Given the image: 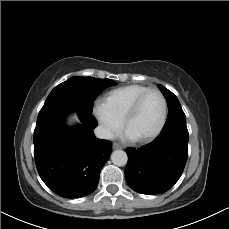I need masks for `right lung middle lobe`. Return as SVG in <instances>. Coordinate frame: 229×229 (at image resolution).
Segmentation results:
<instances>
[{
    "label": "right lung middle lobe",
    "mask_w": 229,
    "mask_h": 229,
    "mask_svg": "<svg viewBox=\"0 0 229 229\" xmlns=\"http://www.w3.org/2000/svg\"><path fill=\"white\" fill-rule=\"evenodd\" d=\"M114 85L117 83L110 79L71 77L50 92L40 112L62 107L92 112L96 97L103 90Z\"/></svg>",
    "instance_id": "right-lung-middle-lobe-1"
}]
</instances>
